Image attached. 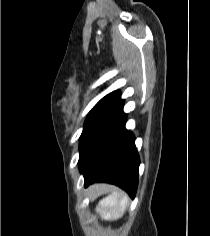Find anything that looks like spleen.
I'll return each mask as SVG.
<instances>
[{
    "label": "spleen",
    "instance_id": "obj_1",
    "mask_svg": "<svg viewBox=\"0 0 210 236\" xmlns=\"http://www.w3.org/2000/svg\"><path fill=\"white\" fill-rule=\"evenodd\" d=\"M128 203V197L121 191H115L103 198L97 207V212L104 220H114L120 218Z\"/></svg>",
    "mask_w": 210,
    "mask_h": 236
}]
</instances>
